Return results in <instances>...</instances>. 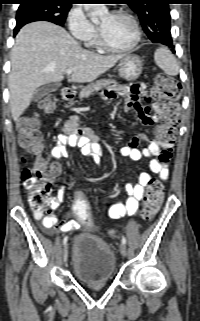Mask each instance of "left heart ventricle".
Instances as JSON below:
<instances>
[{"mask_svg": "<svg viewBox=\"0 0 200 321\" xmlns=\"http://www.w3.org/2000/svg\"><path fill=\"white\" fill-rule=\"evenodd\" d=\"M105 40L114 47H125L132 43L135 30L132 22L120 16L105 15L99 22Z\"/></svg>", "mask_w": 200, "mask_h": 321, "instance_id": "left-heart-ventricle-1", "label": "left heart ventricle"}]
</instances>
